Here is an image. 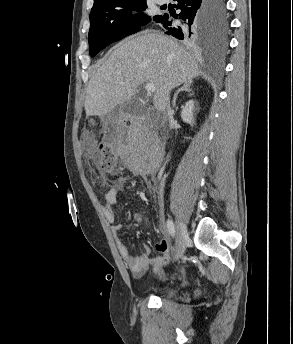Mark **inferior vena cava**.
<instances>
[{"label": "inferior vena cava", "instance_id": "obj_1", "mask_svg": "<svg viewBox=\"0 0 293 344\" xmlns=\"http://www.w3.org/2000/svg\"><path fill=\"white\" fill-rule=\"evenodd\" d=\"M166 111H167V116L169 119H171L172 112H171V107L169 104V99L166 100Z\"/></svg>", "mask_w": 293, "mask_h": 344}]
</instances>
